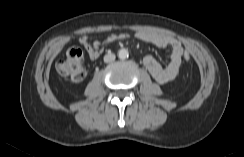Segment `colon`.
Here are the masks:
<instances>
[{
	"instance_id": "obj_1",
	"label": "colon",
	"mask_w": 244,
	"mask_h": 157,
	"mask_svg": "<svg viewBox=\"0 0 244 157\" xmlns=\"http://www.w3.org/2000/svg\"><path fill=\"white\" fill-rule=\"evenodd\" d=\"M107 38L104 42H108ZM185 61L191 59L190 53L185 50L182 55ZM57 72L73 82H80L86 76V71L84 67V55L78 47H71L64 58L60 59L56 64Z\"/></svg>"
}]
</instances>
